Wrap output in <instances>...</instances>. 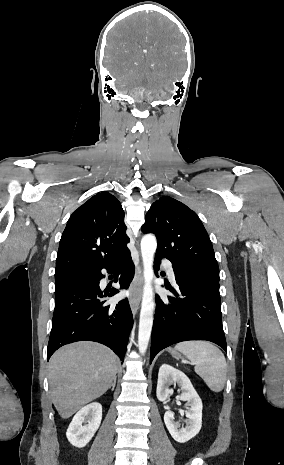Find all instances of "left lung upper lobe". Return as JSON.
I'll return each mask as SVG.
<instances>
[{
    "label": "left lung upper lobe",
    "instance_id": "left-lung-upper-lobe-1",
    "mask_svg": "<svg viewBox=\"0 0 284 465\" xmlns=\"http://www.w3.org/2000/svg\"><path fill=\"white\" fill-rule=\"evenodd\" d=\"M142 232L156 235V254L173 266L219 282V267L207 231L185 204L169 196L161 197L147 212Z\"/></svg>",
    "mask_w": 284,
    "mask_h": 465
}]
</instances>
